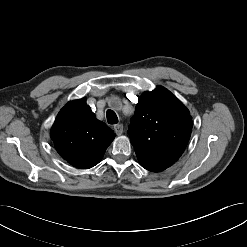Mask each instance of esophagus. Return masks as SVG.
<instances>
[{"mask_svg": "<svg viewBox=\"0 0 247 247\" xmlns=\"http://www.w3.org/2000/svg\"><path fill=\"white\" fill-rule=\"evenodd\" d=\"M114 131L117 135H121L123 133V125L122 124L114 125Z\"/></svg>", "mask_w": 247, "mask_h": 247, "instance_id": "1", "label": "esophagus"}]
</instances>
